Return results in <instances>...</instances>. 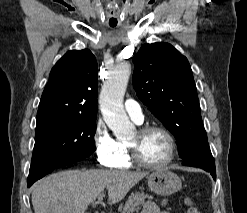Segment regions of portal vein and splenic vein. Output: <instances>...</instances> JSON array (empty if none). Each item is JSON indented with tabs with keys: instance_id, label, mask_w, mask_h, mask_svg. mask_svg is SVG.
Masks as SVG:
<instances>
[{
	"instance_id": "obj_1",
	"label": "portal vein and splenic vein",
	"mask_w": 247,
	"mask_h": 213,
	"mask_svg": "<svg viewBox=\"0 0 247 213\" xmlns=\"http://www.w3.org/2000/svg\"><path fill=\"white\" fill-rule=\"evenodd\" d=\"M103 197H104V194L102 193V194H100V195L98 196V200H99V201H102V200H103Z\"/></svg>"
}]
</instances>
